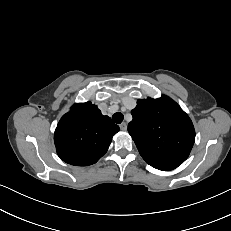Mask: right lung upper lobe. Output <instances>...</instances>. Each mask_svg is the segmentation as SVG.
Instances as JSON below:
<instances>
[{
	"label": "right lung upper lobe",
	"instance_id": "right-lung-upper-lobe-1",
	"mask_svg": "<svg viewBox=\"0 0 231 231\" xmlns=\"http://www.w3.org/2000/svg\"><path fill=\"white\" fill-rule=\"evenodd\" d=\"M119 126L102 115L91 102L75 104L59 121L54 141L58 156L66 163L87 166L108 150Z\"/></svg>",
	"mask_w": 231,
	"mask_h": 231
}]
</instances>
